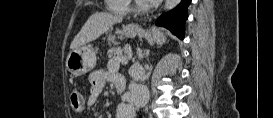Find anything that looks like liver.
Segmentation results:
<instances>
[{
	"instance_id": "1",
	"label": "liver",
	"mask_w": 273,
	"mask_h": 118,
	"mask_svg": "<svg viewBox=\"0 0 273 118\" xmlns=\"http://www.w3.org/2000/svg\"><path fill=\"white\" fill-rule=\"evenodd\" d=\"M123 17L107 12H97L91 15L80 32L71 42L70 49L74 50L99 38L105 31L116 23H120Z\"/></svg>"
}]
</instances>
